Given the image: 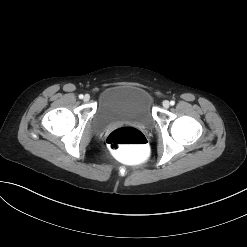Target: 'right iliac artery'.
Segmentation results:
<instances>
[{
	"label": "right iliac artery",
	"instance_id": "82829eb1",
	"mask_svg": "<svg viewBox=\"0 0 247 247\" xmlns=\"http://www.w3.org/2000/svg\"><path fill=\"white\" fill-rule=\"evenodd\" d=\"M83 97H84V96H83L82 94L79 95V98H80V99H83Z\"/></svg>",
	"mask_w": 247,
	"mask_h": 247
}]
</instances>
